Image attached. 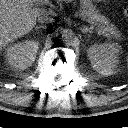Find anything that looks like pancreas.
<instances>
[{
  "mask_svg": "<svg viewBox=\"0 0 128 128\" xmlns=\"http://www.w3.org/2000/svg\"><path fill=\"white\" fill-rule=\"evenodd\" d=\"M59 2L71 0H58ZM73 1V0H72ZM81 6V16L87 18L93 23L98 25V29L101 33L106 36H113L115 38H121L122 34L116 29L113 24H110V21L106 16L101 15L97 10L96 6L93 5L92 0H79Z\"/></svg>",
  "mask_w": 128,
  "mask_h": 128,
  "instance_id": "cf45deb5",
  "label": "pancreas"
}]
</instances>
